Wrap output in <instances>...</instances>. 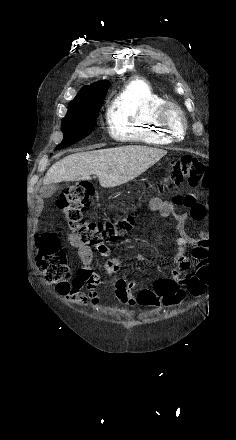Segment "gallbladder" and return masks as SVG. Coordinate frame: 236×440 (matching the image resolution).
<instances>
[{
	"label": "gallbladder",
	"mask_w": 236,
	"mask_h": 440,
	"mask_svg": "<svg viewBox=\"0 0 236 440\" xmlns=\"http://www.w3.org/2000/svg\"><path fill=\"white\" fill-rule=\"evenodd\" d=\"M57 189L58 187L56 184H44L40 189V195L43 198H49L56 192Z\"/></svg>",
	"instance_id": "gallbladder-1"
}]
</instances>
